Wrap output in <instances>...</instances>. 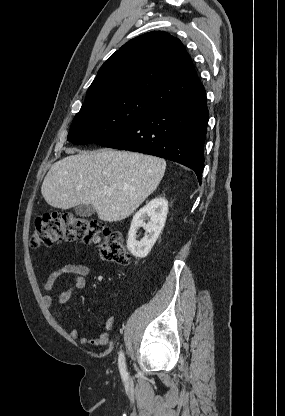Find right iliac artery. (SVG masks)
<instances>
[{"label":"right iliac artery","instance_id":"82829eb1","mask_svg":"<svg viewBox=\"0 0 285 416\" xmlns=\"http://www.w3.org/2000/svg\"><path fill=\"white\" fill-rule=\"evenodd\" d=\"M118 363H119V370H120L121 376L124 379H127L128 374H127V371H126L125 357H124L123 352H120V354H119Z\"/></svg>","mask_w":285,"mask_h":416}]
</instances>
